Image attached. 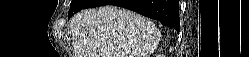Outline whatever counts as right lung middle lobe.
<instances>
[{
  "instance_id": "obj_1",
  "label": "right lung middle lobe",
  "mask_w": 249,
  "mask_h": 57,
  "mask_svg": "<svg viewBox=\"0 0 249 57\" xmlns=\"http://www.w3.org/2000/svg\"><path fill=\"white\" fill-rule=\"evenodd\" d=\"M90 2L91 0H72L68 18L81 9H85L90 4Z\"/></svg>"
}]
</instances>
